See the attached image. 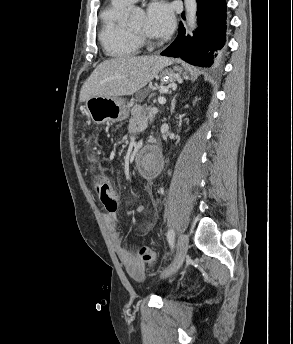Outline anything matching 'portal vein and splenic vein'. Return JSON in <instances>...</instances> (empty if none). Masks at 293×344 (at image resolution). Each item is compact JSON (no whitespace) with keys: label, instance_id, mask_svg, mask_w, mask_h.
<instances>
[{"label":"portal vein and splenic vein","instance_id":"obj_1","mask_svg":"<svg viewBox=\"0 0 293 344\" xmlns=\"http://www.w3.org/2000/svg\"><path fill=\"white\" fill-rule=\"evenodd\" d=\"M144 122H145V124L148 122V117L145 118V121H144Z\"/></svg>","mask_w":293,"mask_h":344}]
</instances>
